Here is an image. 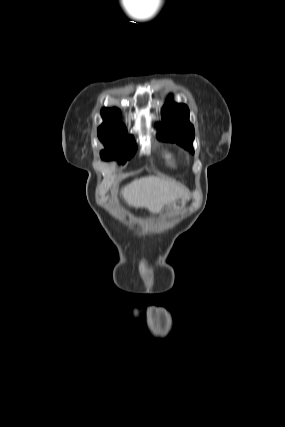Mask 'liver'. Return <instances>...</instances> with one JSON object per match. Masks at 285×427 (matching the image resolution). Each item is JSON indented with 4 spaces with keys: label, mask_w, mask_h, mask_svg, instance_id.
<instances>
[{
    "label": "liver",
    "mask_w": 285,
    "mask_h": 427,
    "mask_svg": "<svg viewBox=\"0 0 285 427\" xmlns=\"http://www.w3.org/2000/svg\"><path fill=\"white\" fill-rule=\"evenodd\" d=\"M128 205L146 208L159 213L165 205L189 198V191L182 185L166 178L145 176L133 180L121 190Z\"/></svg>",
    "instance_id": "liver-1"
}]
</instances>
